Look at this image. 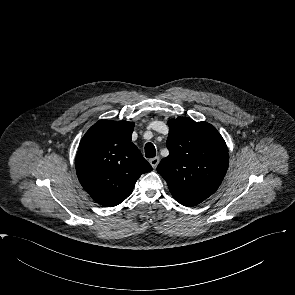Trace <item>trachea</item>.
<instances>
[{"mask_svg":"<svg viewBox=\"0 0 295 295\" xmlns=\"http://www.w3.org/2000/svg\"><path fill=\"white\" fill-rule=\"evenodd\" d=\"M156 155L155 147L152 143L148 142L145 145V156L147 158H153Z\"/></svg>","mask_w":295,"mask_h":295,"instance_id":"obj_1","label":"trachea"}]
</instances>
